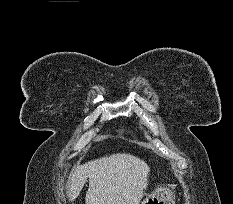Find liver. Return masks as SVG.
Instances as JSON below:
<instances>
[{"label": "liver", "instance_id": "obj_1", "mask_svg": "<svg viewBox=\"0 0 233 204\" xmlns=\"http://www.w3.org/2000/svg\"><path fill=\"white\" fill-rule=\"evenodd\" d=\"M150 168L129 153L104 156L74 167L67 185L74 201L89 179L86 204H137L148 186Z\"/></svg>", "mask_w": 233, "mask_h": 204}]
</instances>
